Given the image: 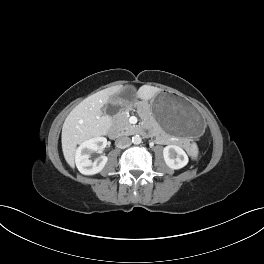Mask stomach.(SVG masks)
Listing matches in <instances>:
<instances>
[{
    "mask_svg": "<svg viewBox=\"0 0 264 264\" xmlns=\"http://www.w3.org/2000/svg\"><path fill=\"white\" fill-rule=\"evenodd\" d=\"M110 102L129 107L134 100L128 90H122L112 95ZM149 109L152 117L171 136L192 139L202 133L205 123L202 115L187 99L175 92H160L152 99Z\"/></svg>",
    "mask_w": 264,
    "mask_h": 264,
    "instance_id": "1",
    "label": "stomach"
}]
</instances>
